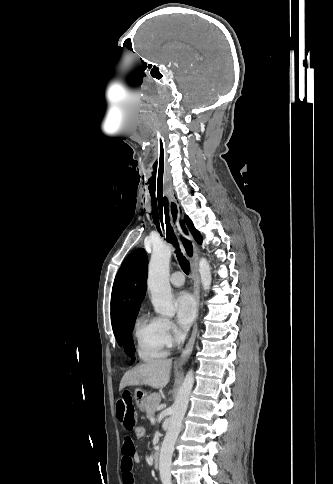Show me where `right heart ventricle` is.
Here are the masks:
<instances>
[{
    "mask_svg": "<svg viewBox=\"0 0 333 484\" xmlns=\"http://www.w3.org/2000/svg\"><path fill=\"white\" fill-rule=\"evenodd\" d=\"M134 334L137 352L144 361L163 358L168 353V346L163 337L162 318L142 313L135 322Z\"/></svg>",
    "mask_w": 333,
    "mask_h": 484,
    "instance_id": "1",
    "label": "right heart ventricle"
}]
</instances>
